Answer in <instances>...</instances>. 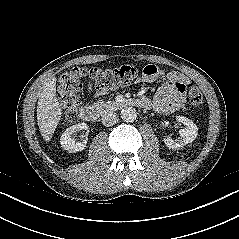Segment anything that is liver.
<instances>
[{
    "label": "liver",
    "instance_id": "6515ba94",
    "mask_svg": "<svg viewBox=\"0 0 239 239\" xmlns=\"http://www.w3.org/2000/svg\"><path fill=\"white\" fill-rule=\"evenodd\" d=\"M61 108L56 97V78L51 77L41 91L37 105V122L41 136L49 141L61 119Z\"/></svg>",
    "mask_w": 239,
    "mask_h": 239
}]
</instances>
